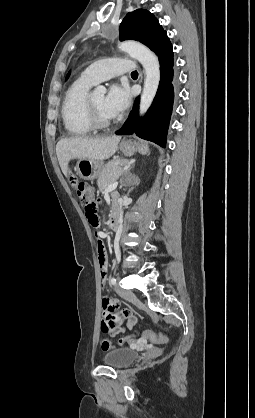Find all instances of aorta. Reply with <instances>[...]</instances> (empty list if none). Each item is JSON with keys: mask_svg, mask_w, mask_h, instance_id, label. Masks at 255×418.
I'll list each match as a JSON object with an SVG mask.
<instances>
[{"mask_svg": "<svg viewBox=\"0 0 255 418\" xmlns=\"http://www.w3.org/2000/svg\"><path fill=\"white\" fill-rule=\"evenodd\" d=\"M119 48L138 60L144 68L145 80L139 107L140 116H143L151 106L159 86L160 65L158 58L150 49L134 41H125L119 45ZM94 92L104 95L106 88L99 85Z\"/></svg>", "mask_w": 255, "mask_h": 418, "instance_id": "obj_1", "label": "aorta"}]
</instances>
